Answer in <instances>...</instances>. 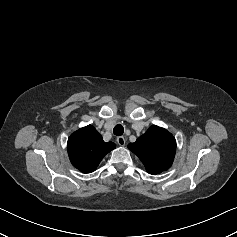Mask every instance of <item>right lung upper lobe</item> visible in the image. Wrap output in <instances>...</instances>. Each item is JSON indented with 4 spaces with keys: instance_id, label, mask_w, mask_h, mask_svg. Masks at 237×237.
<instances>
[{
    "instance_id": "1",
    "label": "right lung upper lobe",
    "mask_w": 237,
    "mask_h": 237,
    "mask_svg": "<svg viewBox=\"0 0 237 237\" xmlns=\"http://www.w3.org/2000/svg\"><path fill=\"white\" fill-rule=\"evenodd\" d=\"M115 147L113 142H104L91 125L71 134L67 144L71 163L83 173L93 172L103 157Z\"/></svg>"
}]
</instances>
